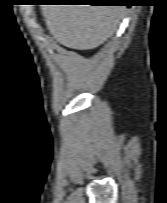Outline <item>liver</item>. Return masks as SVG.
<instances>
[{
    "instance_id": "1",
    "label": "liver",
    "mask_w": 167,
    "mask_h": 203,
    "mask_svg": "<svg viewBox=\"0 0 167 203\" xmlns=\"http://www.w3.org/2000/svg\"><path fill=\"white\" fill-rule=\"evenodd\" d=\"M42 14L54 39L72 49H93L117 29L122 6L43 5Z\"/></svg>"
}]
</instances>
